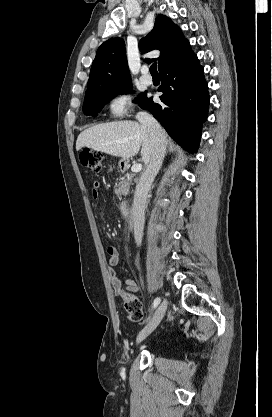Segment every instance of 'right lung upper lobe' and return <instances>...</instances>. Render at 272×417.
I'll use <instances>...</instances> for the list:
<instances>
[{"label":"right lung upper lobe","instance_id":"cb5924a9","mask_svg":"<svg viewBox=\"0 0 272 417\" xmlns=\"http://www.w3.org/2000/svg\"><path fill=\"white\" fill-rule=\"evenodd\" d=\"M180 28L168 17L159 15L152 31L139 42L140 50L144 53L154 49L161 51L158 68L179 52L186 44ZM149 59H145L148 61ZM131 85L129 68L127 65L124 41L111 38L104 42L97 50L93 61L86 94L105 89H115Z\"/></svg>","mask_w":272,"mask_h":417}]
</instances>
